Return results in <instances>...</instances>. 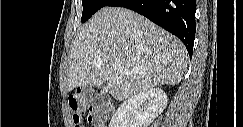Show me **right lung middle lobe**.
Masks as SVG:
<instances>
[{
	"label": "right lung middle lobe",
	"mask_w": 243,
	"mask_h": 127,
	"mask_svg": "<svg viewBox=\"0 0 243 127\" xmlns=\"http://www.w3.org/2000/svg\"><path fill=\"white\" fill-rule=\"evenodd\" d=\"M110 2L111 0H82V23L87 21L95 12H97L102 7L107 6Z\"/></svg>",
	"instance_id": "1"
}]
</instances>
